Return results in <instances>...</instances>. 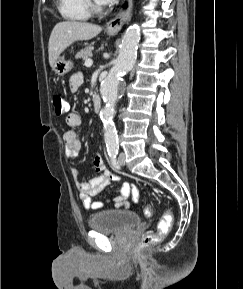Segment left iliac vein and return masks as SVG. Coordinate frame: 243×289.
Wrapping results in <instances>:
<instances>
[{
  "label": "left iliac vein",
  "instance_id": "4c4485c4",
  "mask_svg": "<svg viewBox=\"0 0 243 289\" xmlns=\"http://www.w3.org/2000/svg\"><path fill=\"white\" fill-rule=\"evenodd\" d=\"M118 161H119V164L121 166L125 165V154L124 153H120V155L118 157Z\"/></svg>",
  "mask_w": 243,
  "mask_h": 289
}]
</instances>
